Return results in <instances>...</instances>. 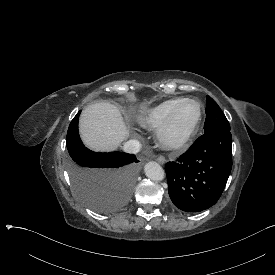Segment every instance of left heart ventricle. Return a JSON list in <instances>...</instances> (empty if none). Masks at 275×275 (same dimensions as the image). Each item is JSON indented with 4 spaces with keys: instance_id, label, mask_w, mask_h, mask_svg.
Returning a JSON list of instances; mask_svg holds the SVG:
<instances>
[{
    "instance_id": "1",
    "label": "left heart ventricle",
    "mask_w": 275,
    "mask_h": 275,
    "mask_svg": "<svg viewBox=\"0 0 275 275\" xmlns=\"http://www.w3.org/2000/svg\"><path fill=\"white\" fill-rule=\"evenodd\" d=\"M197 114V108L192 103H185L177 108L175 113V126L177 130H186L194 121Z\"/></svg>"
}]
</instances>
